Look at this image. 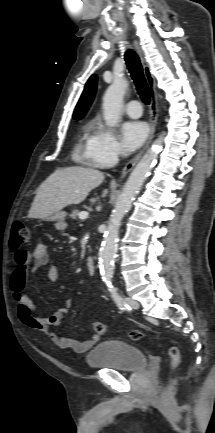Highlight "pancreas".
Returning <instances> with one entry per match:
<instances>
[{
    "mask_svg": "<svg viewBox=\"0 0 215 433\" xmlns=\"http://www.w3.org/2000/svg\"><path fill=\"white\" fill-rule=\"evenodd\" d=\"M80 214V211L78 210H74L71 214H70V218L72 219H76V217Z\"/></svg>",
    "mask_w": 215,
    "mask_h": 433,
    "instance_id": "cf45deb5",
    "label": "pancreas"
}]
</instances>
